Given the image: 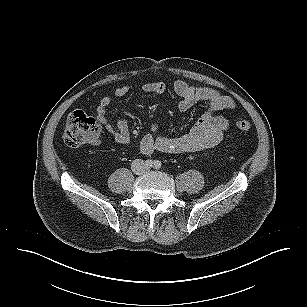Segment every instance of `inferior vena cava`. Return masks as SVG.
<instances>
[{
	"mask_svg": "<svg viewBox=\"0 0 307 307\" xmlns=\"http://www.w3.org/2000/svg\"><path fill=\"white\" fill-rule=\"evenodd\" d=\"M131 169L135 174L139 175L146 171V166L142 159H135L132 162Z\"/></svg>",
	"mask_w": 307,
	"mask_h": 307,
	"instance_id": "inferior-vena-cava-1",
	"label": "inferior vena cava"
}]
</instances>
